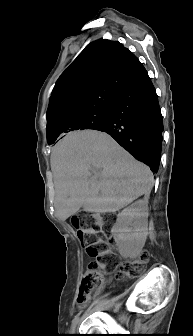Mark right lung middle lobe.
Segmentation results:
<instances>
[{
	"label": "right lung middle lobe",
	"instance_id": "right-lung-middle-lobe-1",
	"mask_svg": "<svg viewBox=\"0 0 193 336\" xmlns=\"http://www.w3.org/2000/svg\"><path fill=\"white\" fill-rule=\"evenodd\" d=\"M109 108L94 110L84 115L79 116L75 121L74 130L84 129H101L107 120ZM49 142V141H48ZM49 144H53L52 141Z\"/></svg>",
	"mask_w": 193,
	"mask_h": 336
}]
</instances>
